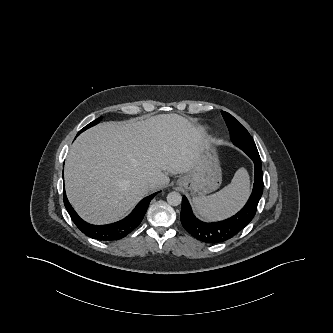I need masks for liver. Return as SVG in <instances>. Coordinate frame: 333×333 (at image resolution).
Here are the masks:
<instances>
[{
    "label": "liver",
    "mask_w": 333,
    "mask_h": 333,
    "mask_svg": "<svg viewBox=\"0 0 333 333\" xmlns=\"http://www.w3.org/2000/svg\"><path fill=\"white\" fill-rule=\"evenodd\" d=\"M209 143L201 128L178 114L100 123L82 133L69 150L67 197L85 221L112 223L144 195L166 186L168 173L189 172Z\"/></svg>",
    "instance_id": "1"
}]
</instances>
